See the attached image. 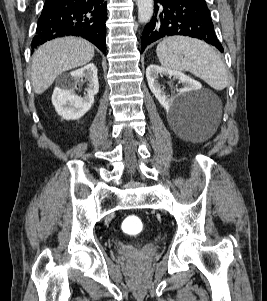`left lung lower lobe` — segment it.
<instances>
[{
  "label": "left lung lower lobe",
  "mask_w": 267,
  "mask_h": 301,
  "mask_svg": "<svg viewBox=\"0 0 267 301\" xmlns=\"http://www.w3.org/2000/svg\"><path fill=\"white\" fill-rule=\"evenodd\" d=\"M154 10L151 21L144 28L141 53L157 39L172 35L198 38L223 52L206 3L200 0H155Z\"/></svg>",
  "instance_id": "1"
}]
</instances>
